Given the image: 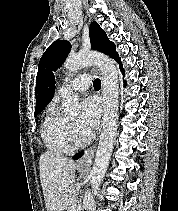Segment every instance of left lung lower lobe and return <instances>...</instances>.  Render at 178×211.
<instances>
[{"label": "left lung lower lobe", "instance_id": "0a47b994", "mask_svg": "<svg viewBox=\"0 0 178 211\" xmlns=\"http://www.w3.org/2000/svg\"><path fill=\"white\" fill-rule=\"evenodd\" d=\"M117 62L119 63V68H120L121 72H123L121 60L118 59ZM124 84H126V83L124 82ZM82 154H83V152L76 154V155L73 157V159H78V158H80V157L82 156Z\"/></svg>", "mask_w": 178, "mask_h": 211}]
</instances>
